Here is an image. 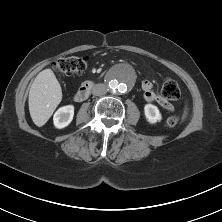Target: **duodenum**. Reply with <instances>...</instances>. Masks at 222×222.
I'll use <instances>...</instances> for the list:
<instances>
[{"mask_svg":"<svg viewBox=\"0 0 222 222\" xmlns=\"http://www.w3.org/2000/svg\"><path fill=\"white\" fill-rule=\"evenodd\" d=\"M94 87V83L92 81L85 82L78 91L74 94V100L76 102H82L88 98L91 90Z\"/></svg>","mask_w":222,"mask_h":222,"instance_id":"1","label":"duodenum"}]
</instances>
